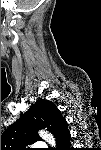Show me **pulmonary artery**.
<instances>
[{
    "instance_id": "1",
    "label": "pulmonary artery",
    "mask_w": 101,
    "mask_h": 150,
    "mask_svg": "<svg viewBox=\"0 0 101 150\" xmlns=\"http://www.w3.org/2000/svg\"><path fill=\"white\" fill-rule=\"evenodd\" d=\"M44 144L43 143H40V142H38V143H36V146H43Z\"/></svg>"
}]
</instances>
